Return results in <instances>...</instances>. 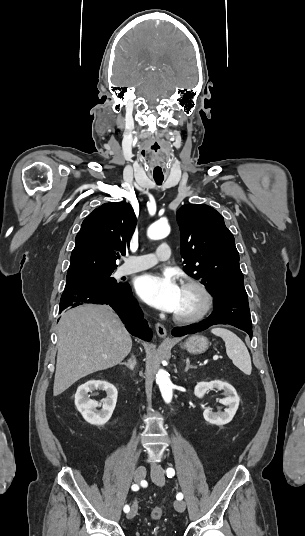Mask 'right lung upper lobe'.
<instances>
[{
  "label": "right lung upper lobe",
  "instance_id": "cb5924a9",
  "mask_svg": "<svg viewBox=\"0 0 305 536\" xmlns=\"http://www.w3.org/2000/svg\"><path fill=\"white\" fill-rule=\"evenodd\" d=\"M136 226L130 204L105 203L83 221L75 238L67 278L115 270Z\"/></svg>",
  "mask_w": 305,
  "mask_h": 536
}]
</instances>
